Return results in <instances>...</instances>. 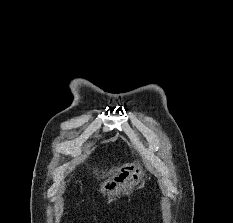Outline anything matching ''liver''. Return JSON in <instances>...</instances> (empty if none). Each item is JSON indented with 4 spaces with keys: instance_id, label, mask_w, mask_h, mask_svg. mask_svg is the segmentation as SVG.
<instances>
[{
    "instance_id": "liver-1",
    "label": "liver",
    "mask_w": 233,
    "mask_h": 223,
    "mask_svg": "<svg viewBox=\"0 0 233 223\" xmlns=\"http://www.w3.org/2000/svg\"><path fill=\"white\" fill-rule=\"evenodd\" d=\"M112 171H114L113 167L112 169H100V171H98L97 167H93V177H96V175H99V173H102V175H104V177H107V175H110V173H112ZM98 179V177H97Z\"/></svg>"
}]
</instances>
